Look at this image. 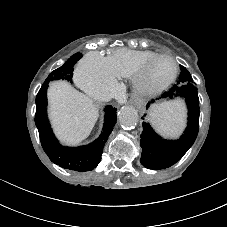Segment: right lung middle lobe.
I'll use <instances>...</instances> for the list:
<instances>
[{"mask_svg":"<svg viewBox=\"0 0 227 227\" xmlns=\"http://www.w3.org/2000/svg\"><path fill=\"white\" fill-rule=\"evenodd\" d=\"M81 57L82 55L80 53L72 55L61 67L50 73L42 86H47L51 81L59 79H65L72 82L73 66Z\"/></svg>","mask_w":227,"mask_h":227,"instance_id":"obj_1","label":"right lung middle lobe"}]
</instances>
